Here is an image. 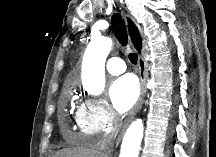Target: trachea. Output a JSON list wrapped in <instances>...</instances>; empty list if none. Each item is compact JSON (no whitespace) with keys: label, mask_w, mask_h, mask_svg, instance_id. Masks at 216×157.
Segmentation results:
<instances>
[{"label":"trachea","mask_w":216,"mask_h":157,"mask_svg":"<svg viewBox=\"0 0 216 157\" xmlns=\"http://www.w3.org/2000/svg\"><path fill=\"white\" fill-rule=\"evenodd\" d=\"M111 24L113 27V31L115 33L116 38L121 43L123 47H126L128 44V34L124 20L122 19L119 13H115L111 17ZM134 43L138 44V48L136 49L141 50L142 40L139 34V30L134 27V36L132 37ZM129 60L133 64H137L138 56L136 53H129Z\"/></svg>","instance_id":"trachea-1"}]
</instances>
